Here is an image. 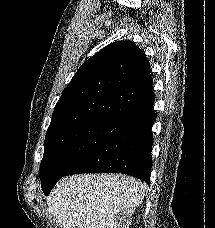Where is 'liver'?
Masks as SVG:
<instances>
[{
	"label": "liver",
	"instance_id": "6515ba94",
	"mask_svg": "<svg viewBox=\"0 0 215 228\" xmlns=\"http://www.w3.org/2000/svg\"><path fill=\"white\" fill-rule=\"evenodd\" d=\"M145 192L123 174H75L59 180L46 202L62 228H129Z\"/></svg>",
	"mask_w": 215,
	"mask_h": 228
}]
</instances>
